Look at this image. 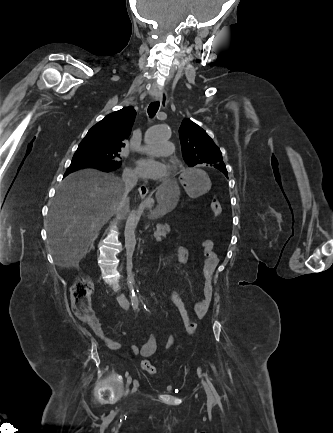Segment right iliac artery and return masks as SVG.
I'll return each mask as SVG.
<instances>
[{"label": "right iliac artery", "mask_w": 333, "mask_h": 433, "mask_svg": "<svg viewBox=\"0 0 333 433\" xmlns=\"http://www.w3.org/2000/svg\"><path fill=\"white\" fill-rule=\"evenodd\" d=\"M128 374H129V373H128V371H127V372L125 373V377H128Z\"/></svg>", "instance_id": "right-iliac-artery-1"}]
</instances>
